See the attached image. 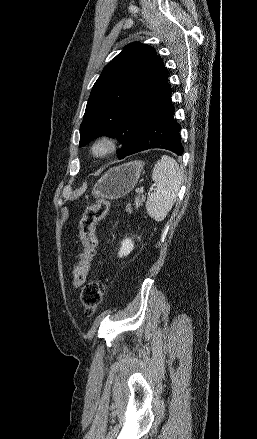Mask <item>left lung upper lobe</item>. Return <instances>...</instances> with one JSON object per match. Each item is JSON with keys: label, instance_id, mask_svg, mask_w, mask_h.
<instances>
[{"label": "left lung upper lobe", "instance_id": "5c2ea615", "mask_svg": "<svg viewBox=\"0 0 257 439\" xmlns=\"http://www.w3.org/2000/svg\"><path fill=\"white\" fill-rule=\"evenodd\" d=\"M168 72L155 50L139 42L124 47L95 82L80 126V146L98 136L117 138L123 159L135 146L140 126L169 88Z\"/></svg>", "mask_w": 257, "mask_h": 439}]
</instances>
